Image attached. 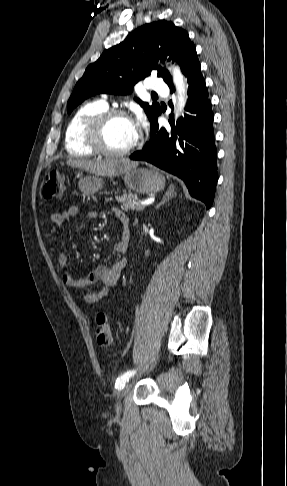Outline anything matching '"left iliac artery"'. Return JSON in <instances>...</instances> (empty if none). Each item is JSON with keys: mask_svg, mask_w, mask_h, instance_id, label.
I'll return each instance as SVG.
<instances>
[{"mask_svg": "<svg viewBox=\"0 0 287 486\" xmlns=\"http://www.w3.org/2000/svg\"><path fill=\"white\" fill-rule=\"evenodd\" d=\"M135 374V371L134 370H129L127 372H125L124 374H122L116 381V385L115 387L118 389V390H122L126 384V382L129 380V378H131L133 375Z\"/></svg>", "mask_w": 287, "mask_h": 486, "instance_id": "obj_1", "label": "left iliac artery"}]
</instances>
